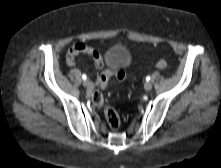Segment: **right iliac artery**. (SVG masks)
Returning a JSON list of instances; mask_svg holds the SVG:
<instances>
[{
    "label": "right iliac artery",
    "instance_id": "1",
    "mask_svg": "<svg viewBox=\"0 0 221 168\" xmlns=\"http://www.w3.org/2000/svg\"><path fill=\"white\" fill-rule=\"evenodd\" d=\"M82 79H83V80H86V79H87V76H86L85 74H83V75H82Z\"/></svg>",
    "mask_w": 221,
    "mask_h": 168
}]
</instances>
